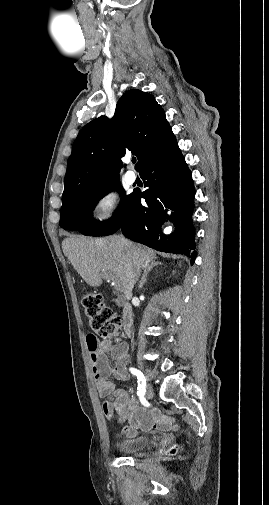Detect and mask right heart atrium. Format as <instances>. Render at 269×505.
I'll use <instances>...</instances> for the list:
<instances>
[{
    "label": "right heart atrium",
    "mask_w": 269,
    "mask_h": 505,
    "mask_svg": "<svg viewBox=\"0 0 269 505\" xmlns=\"http://www.w3.org/2000/svg\"><path fill=\"white\" fill-rule=\"evenodd\" d=\"M121 210L117 192L106 189L99 193L91 204L92 220L97 225H106L116 218Z\"/></svg>",
    "instance_id": "1"
}]
</instances>
